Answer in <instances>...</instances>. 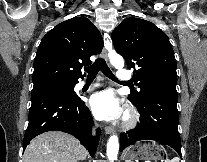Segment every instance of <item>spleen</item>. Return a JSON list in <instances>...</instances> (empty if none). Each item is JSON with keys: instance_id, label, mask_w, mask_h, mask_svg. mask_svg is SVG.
<instances>
[{"instance_id": "spleen-1", "label": "spleen", "mask_w": 207, "mask_h": 162, "mask_svg": "<svg viewBox=\"0 0 207 162\" xmlns=\"http://www.w3.org/2000/svg\"><path fill=\"white\" fill-rule=\"evenodd\" d=\"M166 162H179V158L175 157L172 160H168Z\"/></svg>"}]
</instances>
